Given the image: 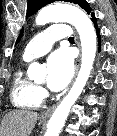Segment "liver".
Returning <instances> with one entry per match:
<instances>
[{
  "mask_svg": "<svg viewBox=\"0 0 117 136\" xmlns=\"http://www.w3.org/2000/svg\"><path fill=\"white\" fill-rule=\"evenodd\" d=\"M38 113L25 109L10 111L0 127V136H29L35 127Z\"/></svg>",
  "mask_w": 117,
  "mask_h": 136,
  "instance_id": "1",
  "label": "liver"
}]
</instances>
